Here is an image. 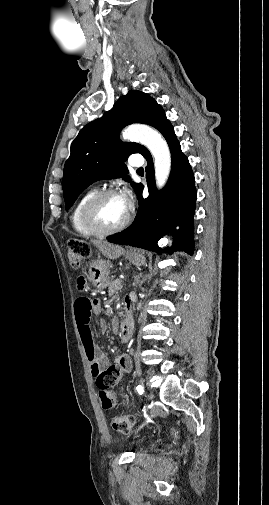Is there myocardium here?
Returning a JSON list of instances; mask_svg holds the SVG:
<instances>
[{
    "mask_svg": "<svg viewBox=\"0 0 269 505\" xmlns=\"http://www.w3.org/2000/svg\"><path fill=\"white\" fill-rule=\"evenodd\" d=\"M118 195V192L114 189H105L97 191L92 195L89 200L85 203L82 209V220L85 226L91 230L93 233L101 236H108L124 230L131 221V212L128 211L125 219L114 227H104L101 225L95 217V210L98 204L105 198Z\"/></svg>",
    "mask_w": 269,
    "mask_h": 505,
    "instance_id": "obj_1",
    "label": "myocardium"
}]
</instances>
